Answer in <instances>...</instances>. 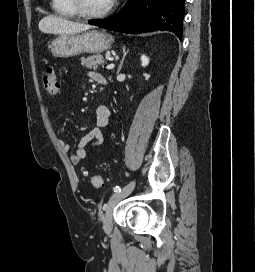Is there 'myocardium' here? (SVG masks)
Instances as JSON below:
<instances>
[{
    "label": "myocardium",
    "instance_id": "myocardium-1",
    "mask_svg": "<svg viewBox=\"0 0 255 272\" xmlns=\"http://www.w3.org/2000/svg\"><path fill=\"white\" fill-rule=\"evenodd\" d=\"M70 2L79 16L89 19H98L108 16L113 11L115 4L114 0H111L110 5L105 10L94 13L85 9L83 0H70Z\"/></svg>",
    "mask_w": 255,
    "mask_h": 272
}]
</instances>
